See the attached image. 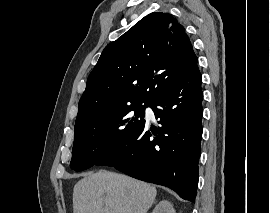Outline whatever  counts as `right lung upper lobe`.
I'll return each mask as SVG.
<instances>
[{"label":"right lung upper lobe","instance_id":"cb5924a9","mask_svg":"<svg viewBox=\"0 0 270 213\" xmlns=\"http://www.w3.org/2000/svg\"><path fill=\"white\" fill-rule=\"evenodd\" d=\"M185 29L168 13L153 12L108 44L87 79L76 123L132 104H151L197 66Z\"/></svg>","mask_w":270,"mask_h":213}]
</instances>
